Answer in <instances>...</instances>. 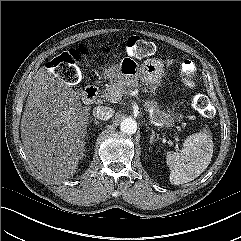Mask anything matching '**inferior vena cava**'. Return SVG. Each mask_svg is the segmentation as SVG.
Wrapping results in <instances>:
<instances>
[{
	"label": "inferior vena cava",
	"instance_id": "602c4592",
	"mask_svg": "<svg viewBox=\"0 0 241 241\" xmlns=\"http://www.w3.org/2000/svg\"><path fill=\"white\" fill-rule=\"evenodd\" d=\"M114 113V109L107 106H97L93 109L94 117L104 121L109 120L114 115Z\"/></svg>",
	"mask_w": 241,
	"mask_h": 241
}]
</instances>
